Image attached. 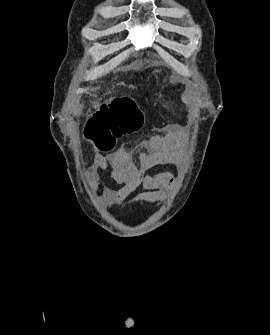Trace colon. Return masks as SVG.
I'll use <instances>...</instances> for the list:
<instances>
[{"label": "colon", "instance_id": "1", "mask_svg": "<svg viewBox=\"0 0 270 335\" xmlns=\"http://www.w3.org/2000/svg\"><path fill=\"white\" fill-rule=\"evenodd\" d=\"M111 110H96L95 116H89L86 126L88 137L98 134H113L116 137L136 133L142 128L144 111L132 97L110 102ZM102 148H113V141L98 142ZM104 150V149H102Z\"/></svg>", "mask_w": 270, "mask_h": 335}]
</instances>
